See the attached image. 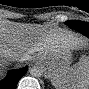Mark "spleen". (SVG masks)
<instances>
[{
	"label": "spleen",
	"instance_id": "1",
	"mask_svg": "<svg viewBox=\"0 0 89 89\" xmlns=\"http://www.w3.org/2000/svg\"><path fill=\"white\" fill-rule=\"evenodd\" d=\"M48 78L57 89H86L89 87V58L82 57L73 66L50 72Z\"/></svg>",
	"mask_w": 89,
	"mask_h": 89
}]
</instances>
